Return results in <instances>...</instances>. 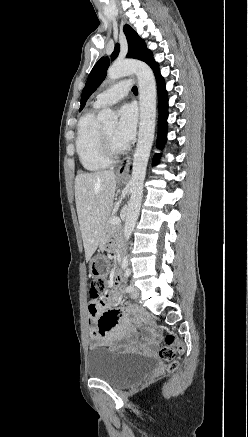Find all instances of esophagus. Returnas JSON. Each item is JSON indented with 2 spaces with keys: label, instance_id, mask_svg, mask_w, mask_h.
Returning <instances> with one entry per match:
<instances>
[{
  "label": "esophagus",
  "instance_id": "1",
  "mask_svg": "<svg viewBox=\"0 0 248 437\" xmlns=\"http://www.w3.org/2000/svg\"><path fill=\"white\" fill-rule=\"evenodd\" d=\"M131 156L132 155H128L122 160L120 166L117 169V176H124L128 173L131 163Z\"/></svg>",
  "mask_w": 248,
  "mask_h": 437
}]
</instances>
